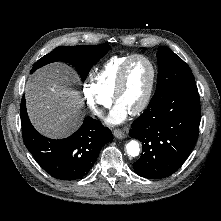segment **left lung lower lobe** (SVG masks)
<instances>
[{
    "label": "left lung lower lobe",
    "mask_w": 221,
    "mask_h": 221,
    "mask_svg": "<svg viewBox=\"0 0 221 221\" xmlns=\"http://www.w3.org/2000/svg\"><path fill=\"white\" fill-rule=\"evenodd\" d=\"M200 98L196 84L150 101L131 125L129 136L142 142L143 152L133 164L145 178H165L176 172L188 157L199 134Z\"/></svg>",
    "instance_id": "1"
}]
</instances>
